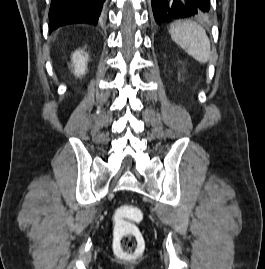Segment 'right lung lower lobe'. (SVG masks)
Returning <instances> with one entry per match:
<instances>
[{
  "instance_id": "1",
  "label": "right lung lower lobe",
  "mask_w": 265,
  "mask_h": 269,
  "mask_svg": "<svg viewBox=\"0 0 265 269\" xmlns=\"http://www.w3.org/2000/svg\"><path fill=\"white\" fill-rule=\"evenodd\" d=\"M105 0H51L49 31L74 23L97 24Z\"/></svg>"
}]
</instances>
